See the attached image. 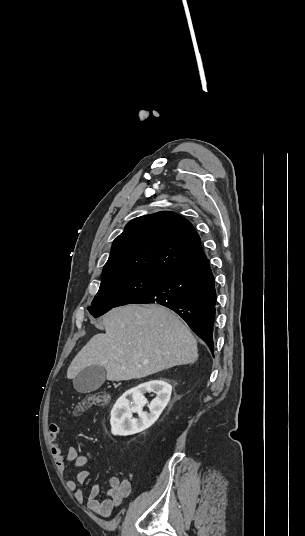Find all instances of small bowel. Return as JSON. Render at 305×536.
I'll use <instances>...</instances> for the list:
<instances>
[{
  "label": "small bowel",
  "instance_id": "c3829d8e",
  "mask_svg": "<svg viewBox=\"0 0 305 536\" xmlns=\"http://www.w3.org/2000/svg\"><path fill=\"white\" fill-rule=\"evenodd\" d=\"M49 430L48 440L51 455L61 476L65 475L67 463H71L75 468H81L92 461L91 455L80 454L75 446H70L64 455L59 443V426L52 424ZM89 475L88 470H81L76 474L75 478H70L66 481V488L74 492L77 500H82L83 498V492L79 489V486L86 482ZM108 485L109 489L104 499L99 498L100 487L97 484L91 487L88 495V507L96 514L106 518L111 516L114 508L122 504L130 495L132 489L131 482L128 479H121L118 476H111L108 480Z\"/></svg>",
  "mask_w": 305,
  "mask_h": 536
}]
</instances>
